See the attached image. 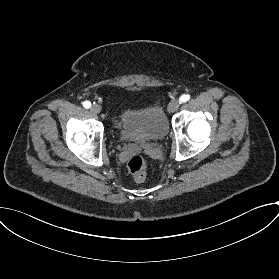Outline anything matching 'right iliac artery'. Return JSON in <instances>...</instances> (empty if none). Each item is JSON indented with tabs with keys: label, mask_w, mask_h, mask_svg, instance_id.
<instances>
[{
	"label": "right iliac artery",
	"mask_w": 279,
	"mask_h": 279,
	"mask_svg": "<svg viewBox=\"0 0 279 279\" xmlns=\"http://www.w3.org/2000/svg\"><path fill=\"white\" fill-rule=\"evenodd\" d=\"M83 106L86 108V109H89L91 107V103L89 101H85L83 103Z\"/></svg>",
	"instance_id": "obj_1"
}]
</instances>
